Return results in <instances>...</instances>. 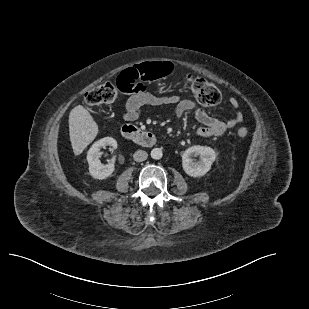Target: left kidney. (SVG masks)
<instances>
[{
    "instance_id": "1",
    "label": "left kidney",
    "mask_w": 309,
    "mask_h": 309,
    "mask_svg": "<svg viewBox=\"0 0 309 309\" xmlns=\"http://www.w3.org/2000/svg\"><path fill=\"white\" fill-rule=\"evenodd\" d=\"M192 155H200V161L194 162ZM216 159V152L207 146H192L182 154V167L184 172L191 177H202L210 169Z\"/></svg>"
}]
</instances>
